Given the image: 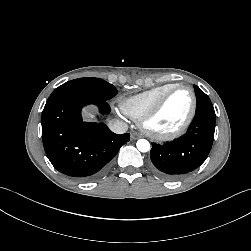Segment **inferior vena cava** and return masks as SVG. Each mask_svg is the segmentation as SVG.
I'll return each instance as SVG.
<instances>
[{"label":"inferior vena cava","instance_id":"602c4592","mask_svg":"<svg viewBox=\"0 0 251 251\" xmlns=\"http://www.w3.org/2000/svg\"><path fill=\"white\" fill-rule=\"evenodd\" d=\"M110 130L116 134H123L127 131L128 125L121 120H113L108 124Z\"/></svg>","mask_w":251,"mask_h":251}]
</instances>
